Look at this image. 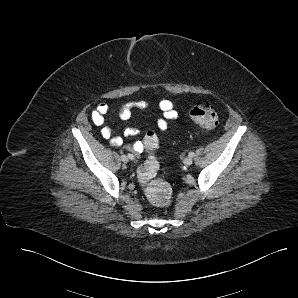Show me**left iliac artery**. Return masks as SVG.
<instances>
[{
    "instance_id": "1",
    "label": "left iliac artery",
    "mask_w": 298,
    "mask_h": 298,
    "mask_svg": "<svg viewBox=\"0 0 298 298\" xmlns=\"http://www.w3.org/2000/svg\"><path fill=\"white\" fill-rule=\"evenodd\" d=\"M189 156L193 157L194 156V152H189Z\"/></svg>"
}]
</instances>
